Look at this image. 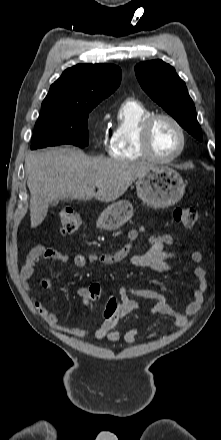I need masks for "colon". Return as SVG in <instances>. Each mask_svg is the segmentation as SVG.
<instances>
[{"mask_svg": "<svg viewBox=\"0 0 221 440\" xmlns=\"http://www.w3.org/2000/svg\"><path fill=\"white\" fill-rule=\"evenodd\" d=\"M173 217L176 222L186 228L193 227L198 219V213L195 208L190 206H179L174 210ZM60 232L64 235L70 234L77 230L82 224V217L79 212L72 208H63L59 213ZM101 288L98 283L90 286L87 298V307L91 308L92 304L100 299ZM119 305L118 297H107L105 303L100 308L104 321H112L114 313Z\"/></svg>", "mask_w": 221, "mask_h": 440, "instance_id": "1", "label": "colon"}]
</instances>
